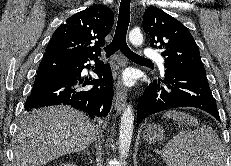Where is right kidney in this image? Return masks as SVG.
<instances>
[{"label":"right kidney","mask_w":231,"mask_h":166,"mask_svg":"<svg viewBox=\"0 0 231 166\" xmlns=\"http://www.w3.org/2000/svg\"><path fill=\"white\" fill-rule=\"evenodd\" d=\"M59 166H76V164L70 163V162H66V163L60 164Z\"/></svg>","instance_id":"ca27d5eb"}]
</instances>
